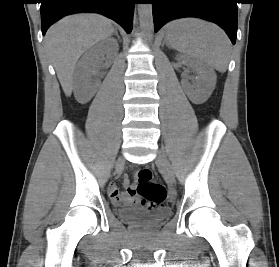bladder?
<instances>
[{
	"mask_svg": "<svg viewBox=\"0 0 279 267\" xmlns=\"http://www.w3.org/2000/svg\"><path fill=\"white\" fill-rule=\"evenodd\" d=\"M121 217L129 223L139 226H155L168 218V213H161L154 216H148L143 212L133 209H123L120 212Z\"/></svg>",
	"mask_w": 279,
	"mask_h": 267,
	"instance_id": "1",
	"label": "bladder"
}]
</instances>
